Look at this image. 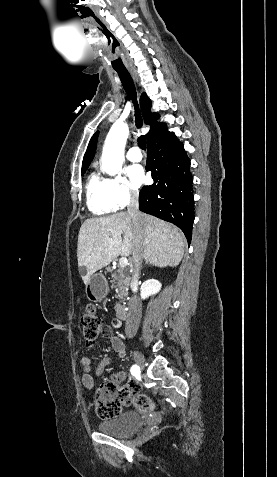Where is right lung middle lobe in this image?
<instances>
[{"mask_svg":"<svg viewBox=\"0 0 277 477\" xmlns=\"http://www.w3.org/2000/svg\"><path fill=\"white\" fill-rule=\"evenodd\" d=\"M85 171H86V169H82V171H81V172H82V175L85 173Z\"/></svg>","mask_w":277,"mask_h":477,"instance_id":"obj_1","label":"right lung middle lobe"}]
</instances>
